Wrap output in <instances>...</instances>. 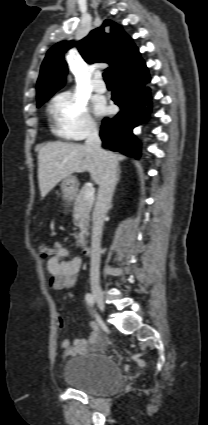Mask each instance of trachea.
<instances>
[{"label": "trachea", "instance_id": "3493384b", "mask_svg": "<svg viewBox=\"0 0 208 425\" xmlns=\"http://www.w3.org/2000/svg\"><path fill=\"white\" fill-rule=\"evenodd\" d=\"M103 79H104L105 82H111V80H110V78H109V76L106 72L103 73Z\"/></svg>", "mask_w": 208, "mask_h": 425}]
</instances>
